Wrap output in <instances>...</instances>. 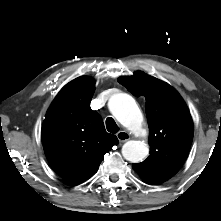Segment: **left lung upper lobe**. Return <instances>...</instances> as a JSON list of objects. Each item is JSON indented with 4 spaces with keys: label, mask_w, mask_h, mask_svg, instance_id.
I'll return each instance as SVG.
<instances>
[{
    "label": "left lung upper lobe",
    "mask_w": 221,
    "mask_h": 221,
    "mask_svg": "<svg viewBox=\"0 0 221 221\" xmlns=\"http://www.w3.org/2000/svg\"><path fill=\"white\" fill-rule=\"evenodd\" d=\"M118 82L134 96L146 98L150 155L132 167L146 183L161 184L177 173L188 155L194 131L188 108L172 86L144 72Z\"/></svg>",
    "instance_id": "left-lung-upper-lobe-1"
}]
</instances>
